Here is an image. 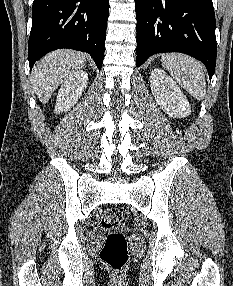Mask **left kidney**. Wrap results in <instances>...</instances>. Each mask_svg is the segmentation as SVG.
Segmentation results:
<instances>
[{
	"mask_svg": "<svg viewBox=\"0 0 233 286\" xmlns=\"http://www.w3.org/2000/svg\"><path fill=\"white\" fill-rule=\"evenodd\" d=\"M151 91L156 102L170 117L185 118L191 114L190 104L175 81L162 69L150 75Z\"/></svg>",
	"mask_w": 233,
	"mask_h": 286,
	"instance_id": "left-kidney-1",
	"label": "left kidney"
}]
</instances>
